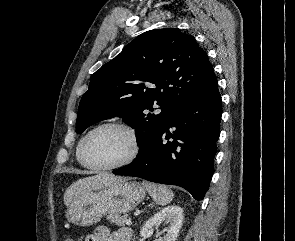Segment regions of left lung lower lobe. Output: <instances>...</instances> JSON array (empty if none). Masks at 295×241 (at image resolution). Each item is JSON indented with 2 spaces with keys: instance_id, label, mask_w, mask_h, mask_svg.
<instances>
[{
  "instance_id": "left-lung-lower-lobe-1",
  "label": "left lung lower lobe",
  "mask_w": 295,
  "mask_h": 241,
  "mask_svg": "<svg viewBox=\"0 0 295 241\" xmlns=\"http://www.w3.org/2000/svg\"><path fill=\"white\" fill-rule=\"evenodd\" d=\"M221 116L216 79L178 107L132 163L113 173L177 185L203 199L213 175Z\"/></svg>"
}]
</instances>
